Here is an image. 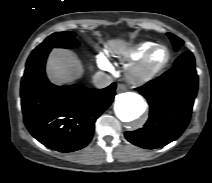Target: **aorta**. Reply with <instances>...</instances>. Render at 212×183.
I'll return each instance as SVG.
<instances>
[{
    "label": "aorta",
    "mask_w": 212,
    "mask_h": 183,
    "mask_svg": "<svg viewBox=\"0 0 212 183\" xmlns=\"http://www.w3.org/2000/svg\"><path fill=\"white\" fill-rule=\"evenodd\" d=\"M114 110L121 121L132 122L145 112L146 103L139 94L125 92L117 96Z\"/></svg>",
    "instance_id": "obj_1"
}]
</instances>
